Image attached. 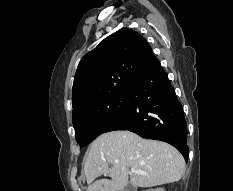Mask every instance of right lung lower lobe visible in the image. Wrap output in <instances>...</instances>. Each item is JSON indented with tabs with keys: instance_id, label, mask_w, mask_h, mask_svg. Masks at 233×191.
Listing matches in <instances>:
<instances>
[{
	"instance_id": "98d812e1",
	"label": "right lung lower lobe",
	"mask_w": 233,
	"mask_h": 191,
	"mask_svg": "<svg viewBox=\"0 0 233 191\" xmlns=\"http://www.w3.org/2000/svg\"><path fill=\"white\" fill-rule=\"evenodd\" d=\"M127 96V109L103 133L129 130L143 138L165 141L176 147L187 161V128L182 105L154 55Z\"/></svg>"
}]
</instances>
